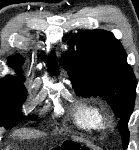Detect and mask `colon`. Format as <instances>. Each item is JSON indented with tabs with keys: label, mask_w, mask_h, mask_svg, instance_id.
<instances>
[{
	"label": "colon",
	"mask_w": 139,
	"mask_h": 150,
	"mask_svg": "<svg viewBox=\"0 0 139 150\" xmlns=\"http://www.w3.org/2000/svg\"><path fill=\"white\" fill-rule=\"evenodd\" d=\"M54 150H86V149L79 148L72 142H66L64 145H62L61 147H58Z\"/></svg>",
	"instance_id": "5ec220e1"
}]
</instances>
